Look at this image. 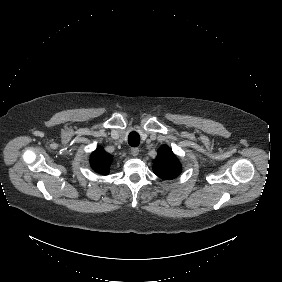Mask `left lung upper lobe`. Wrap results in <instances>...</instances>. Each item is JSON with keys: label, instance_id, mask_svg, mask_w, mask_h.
<instances>
[{"label": "left lung upper lobe", "instance_id": "left-lung-upper-lobe-1", "mask_svg": "<svg viewBox=\"0 0 282 282\" xmlns=\"http://www.w3.org/2000/svg\"><path fill=\"white\" fill-rule=\"evenodd\" d=\"M154 173L164 180L174 179L181 173V164L167 145L161 146L157 157L153 160Z\"/></svg>", "mask_w": 282, "mask_h": 282}]
</instances>
